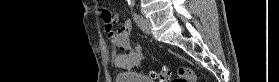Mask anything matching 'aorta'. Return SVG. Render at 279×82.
<instances>
[{
  "instance_id": "aorta-1",
  "label": "aorta",
  "mask_w": 279,
  "mask_h": 82,
  "mask_svg": "<svg viewBox=\"0 0 279 82\" xmlns=\"http://www.w3.org/2000/svg\"><path fill=\"white\" fill-rule=\"evenodd\" d=\"M128 2H129V4H131V5L134 4V0H129Z\"/></svg>"
}]
</instances>
